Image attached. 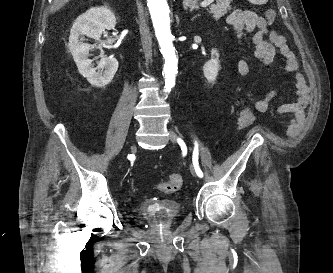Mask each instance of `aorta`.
Masks as SVG:
<instances>
[{"label": "aorta", "mask_w": 333, "mask_h": 273, "mask_svg": "<svg viewBox=\"0 0 333 273\" xmlns=\"http://www.w3.org/2000/svg\"><path fill=\"white\" fill-rule=\"evenodd\" d=\"M155 35L159 42L161 53L165 59L163 72L165 75V91H171L175 85L178 59L173 46V36L170 30L169 6L167 0H147Z\"/></svg>", "instance_id": "obj_1"}]
</instances>
